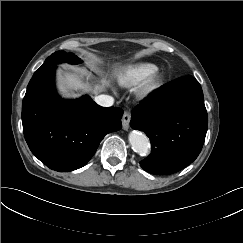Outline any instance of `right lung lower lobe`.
Instances as JSON below:
<instances>
[{"instance_id":"obj_1","label":"right lung lower lobe","mask_w":243,"mask_h":243,"mask_svg":"<svg viewBox=\"0 0 243 243\" xmlns=\"http://www.w3.org/2000/svg\"><path fill=\"white\" fill-rule=\"evenodd\" d=\"M55 69L42 65L30 80L22 103L23 132L42 163L68 172L83 167L104 136L122 128L123 110L101 107L89 96L61 99L54 87Z\"/></svg>"}]
</instances>
